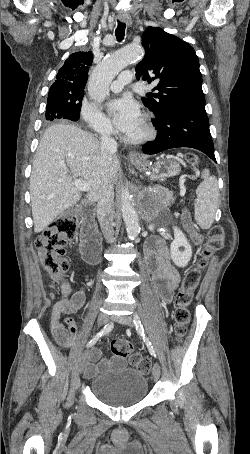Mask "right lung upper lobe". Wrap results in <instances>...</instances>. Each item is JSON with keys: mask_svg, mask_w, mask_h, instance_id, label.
I'll return each instance as SVG.
<instances>
[{"mask_svg": "<svg viewBox=\"0 0 250 454\" xmlns=\"http://www.w3.org/2000/svg\"><path fill=\"white\" fill-rule=\"evenodd\" d=\"M93 61L89 52H77L69 56L56 75V81L50 87L49 93L59 96H77L84 93L88 79V70Z\"/></svg>", "mask_w": 250, "mask_h": 454, "instance_id": "right-lung-upper-lobe-1", "label": "right lung upper lobe"}]
</instances>
